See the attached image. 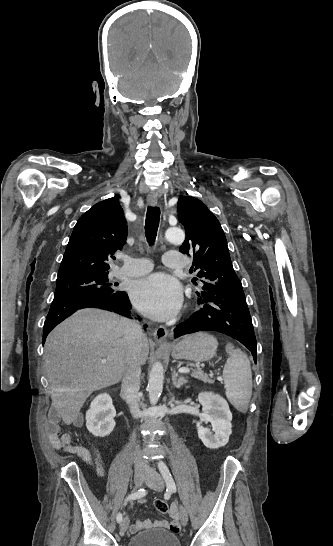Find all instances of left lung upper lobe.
<instances>
[{
  "label": "left lung upper lobe",
  "mask_w": 333,
  "mask_h": 546,
  "mask_svg": "<svg viewBox=\"0 0 333 546\" xmlns=\"http://www.w3.org/2000/svg\"><path fill=\"white\" fill-rule=\"evenodd\" d=\"M177 209L179 222L186 231L185 241L179 251L193 256L194 270L202 278V290L197 293L221 298L244 297L218 219L203 202L191 196L180 197Z\"/></svg>",
  "instance_id": "1"
}]
</instances>
